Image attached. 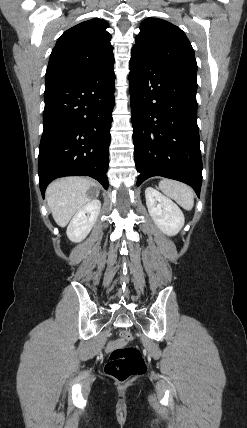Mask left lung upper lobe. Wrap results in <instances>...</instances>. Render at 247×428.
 <instances>
[{
  "mask_svg": "<svg viewBox=\"0 0 247 428\" xmlns=\"http://www.w3.org/2000/svg\"><path fill=\"white\" fill-rule=\"evenodd\" d=\"M131 54L150 59L163 69L196 82L194 50L185 33L170 22L147 18L140 26Z\"/></svg>",
  "mask_w": 247,
  "mask_h": 428,
  "instance_id": "5c2ea615",
  "label": "left lung upper lobe"
}]
</instances>
